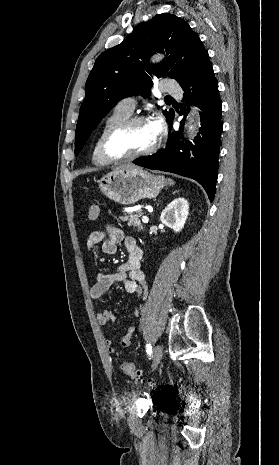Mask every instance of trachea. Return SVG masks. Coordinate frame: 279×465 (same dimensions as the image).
I'll list each match as a JSON object with an SVG mask.
<instances>
[{
  "label": "trachea",
  "mask_w": 279,
  "mask_h": 465,
  "mask_svg": "<svg viewBox=\"0 0 279 465\" xmlns=\"http://www.w3.org/2000/svg\"><path fill=\"white\" fill-rule=\"evenodd\" d=\"M166 99H168V100H171V99H172V97H170V96H167V97H166Z\"/></svg>",
  "instance_id": "3493384b"
}]
</instances>
